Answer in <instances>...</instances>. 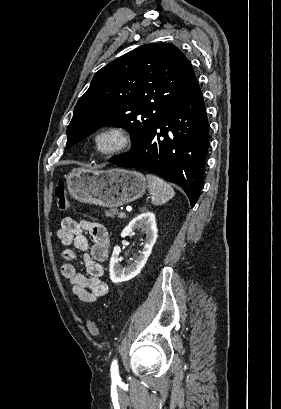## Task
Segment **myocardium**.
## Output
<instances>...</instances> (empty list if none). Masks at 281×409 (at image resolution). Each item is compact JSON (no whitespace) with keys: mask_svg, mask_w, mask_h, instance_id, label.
Here are the masks:
<instances>
[{"mask_svg":"<svg viewBox=\"0 0 281 409\" xmlns=\"http://www.w3.org/2000/svg\"><path fill=\"white\" fill-rule=\"evenodd\" d=\"M131 143L130 133L121 126L111 125L99 130L93 139L95 150L102 155H114Z\"/></svg>","mask_w":281,"mask_h":409,"instance_id":"f54148a6","label":"myocardium"}]
</instances>
